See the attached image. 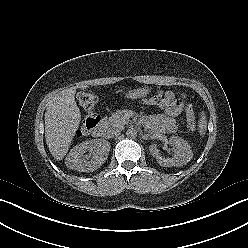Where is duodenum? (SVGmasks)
Returning <instances> with one entry per match:
<instances>
[{"label":"duodenum","mask_w":248,"mask_h":248,"mask_svg":"<svg viewBox=\"0 0 248 248\" xmlns=\"http://www.w3.org/2000/svg\"><path fill=\"white\" fill-rule=\"evenodd\" d=\"M106 131V123L105 121H102L101 119L98 120L95 127H93L92 134L94 137H103Z\"/></svg>","instance_id":"410a0bca"}]
</instances>
